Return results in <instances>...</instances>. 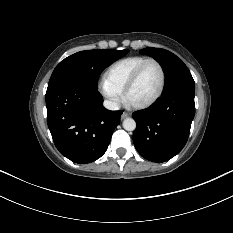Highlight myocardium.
<instances>
[{
	"label": "myocardium",
	"mask_w": 233,
	"mask_h": 233,
	"mask_svg": "<svg viewBox=\"0 0 233 233\" xmlns=\"http://www.w3.org/2000/svg\"><path fill=\"white\" fill-rule=\"evenodd\" d=\"M151 63L156 64L160 70V73H161V84H160V88H159L158 92L154 95V97H152L150 100H148L145 103L137 104V105L129 103L128 94H129L130 90L133 88V86L135 85V83L137 82V80L141 76L142 72L147 67V65H149ZM165 85H166V72H165L164 66L157 59L149 58L146 61H144L142 64H140L136 68V70L132 73L130 78L128 79V81L124 87V91H123L124 98H125L126 102L129 103L133 108L146 109V108L152 106L153 104H155L160 99V97L162 96V94L164 92Z\"/></svg>",
	"instance_id": "myocardium-1"
}]
</instances>
